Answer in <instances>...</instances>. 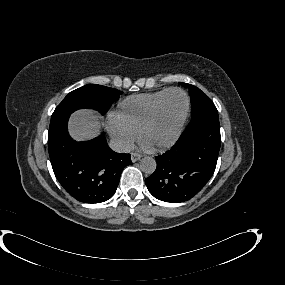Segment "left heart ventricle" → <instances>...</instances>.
Segmentation results:
<instances>
[{
    "label": "left heart ventricle",
    "mask_w": 285,
    "mask_h": 285,
    "mask_svg": "<svg viewBox=\"0 0 285 285\" xmlns=\"http://www.w3.org/2000/svg\"><path fill=\"white\" fill-rule=\"evenodd\" d=\"M186 109L185 96L178 91L170 93L154 123L144 132L142 141L156 146L169 141L177 131Z\"/></svg>",
    "instance_id": "left-heart-ventricle-1"
}]
</instances>
